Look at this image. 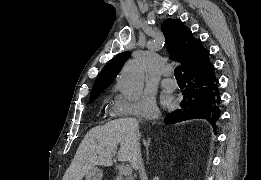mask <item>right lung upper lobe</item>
Returning <instances> with one entry per match:
<instances>
[{"label":"right lung upper lobe","instance_id":"cb5924a9","mask_svg":"<svg viewBox=\"0 0 261 180\" xmlns=\"http://www.w3.org/2000/svg\"><path fill=\"white\" fill-rule=\"evenodd\" d=\"M161 29L166 39V48L171 54L170 59L179 61L183 72L209 61V52L203 48L201 40L194 39L191 30L181 20L167 19ZM129 57L130 52H123L106 64L94 83L91 97L99 96L108 87Z\"/></svg>","mask_w":261,"mask_h":180}]
</instances>
